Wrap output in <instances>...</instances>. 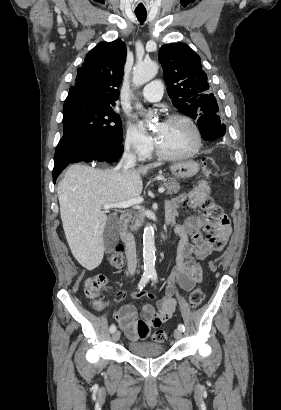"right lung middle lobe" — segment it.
Wrapping results in <instances>:
<instances>
[{
    "mask_svg": "<svg viewBox=\"0 0 281 410\" xmlns=\"http://www.w3.org/2000/svg\"><path fill=\"white\" fill-rule=\"evenodd\" d=\"M63 137L56 153L79 145L122 143V123L111 106L71 104L63 108Z\"/></svg>",
    "mask_w": 281,
    "mask_h": 410,
    "instance_id": "dd1d6c3e",
    "label": "right lung middle lobe"
}]
</instances>
